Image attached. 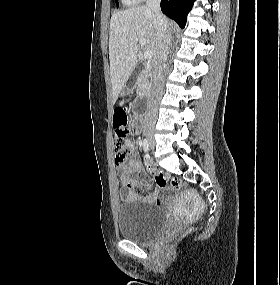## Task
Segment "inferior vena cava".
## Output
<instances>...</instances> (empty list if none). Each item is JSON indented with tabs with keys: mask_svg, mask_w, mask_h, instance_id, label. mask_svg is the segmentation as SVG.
<instances>
[{
	"mask_svg": "<svg viewBox=\"0 0 280 285\" xmlns=\"http://www.w3.org/2000/svg\"><path fill=\"white\" fill-rule=\"evenodd\" d=\"M147 7L152 11L156 28V46L153 61V79L147 98L145 125L154 124L157 117L158 103L163 89V76L168 59L171 34L166 18L160 9V0H147Z\"/></svg>",
	"mask_w": 280,
	"mask_h": 285,
	"instance_id": "1",
	"label": "inferior vena cava"
}]
</instances>
